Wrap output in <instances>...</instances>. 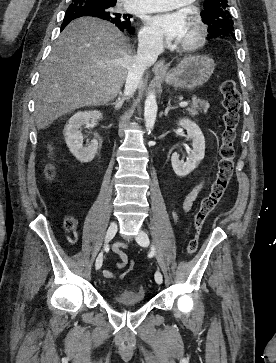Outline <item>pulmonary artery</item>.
<instances>
[{
  "label": "pulmonary artery",
  "instance_id": "e3ab8cb5",
  "mask_svg": "<svg viewBox=\"0 0 276 363\" xmlns=\"http://www.w3.org/2000/svg\"><path fill=\"white\" fill-rule=\"evenodd\" d=\"M192 1L194 0H131L126 7L133 13H150L176 9Z\"/></svg>",
  "mask_w": 276,
  "mask_h": 363
}]
</instances>
